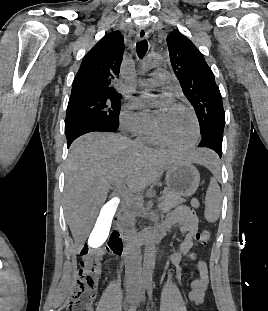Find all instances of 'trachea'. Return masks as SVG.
<instances>
[{
  "label": "trachea",
  "mask_w": 268,
  "mask_h": 311,
  "mask_svg": "<svg viewBox=\"0 0 268 311\" xmlns=\"http://www.w3.org/2000/svg\"><path fill=\"white\" fill-rule=\"evenodd\" d=\"M148 50V42L146 40H141L136 44L137 55L142 59Z\"/></svg>",
  "instance_id": "trachea-1"
}]
</instances>
